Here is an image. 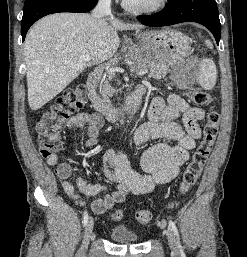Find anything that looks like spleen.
<instances>
[{
  "mask_svg": "<svg viewBox=\"0 0 247 257\" xmlns=\"http://www.w3.org/2000/svg\"><path fill=\"white\" fill-rule=\"evenodd\" d=\"M207 47L212 48V43L209 40L205 41ZM217 79V70L212 59H203L199 66L198 83L204 90H211Z\"/></svg>",
  "mask_w": 247,
  "mask_h": 257,
  "instance_id": "obj_1",
  "label": "spleen"
}]
</instances>
